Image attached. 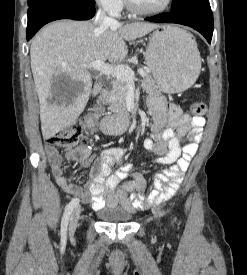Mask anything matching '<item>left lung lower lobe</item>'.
<instances>
[{
	"instance_id": "0a47b994",
	"label": "left lung lower lobe",
	"mask_w": 247,
	"mask_h": 275,
	"mask_svg": "<svg viewBox=\"0 0 247 275\" xmlns=\"http://www.w3.org/2000/svg\"><path fill=\"white\" fill-rule=\"evenodd\" d=\"M145 20L186 25L200 32L209 43L212 39L213 14L209 3L197 4L181 10L159 14Z\"/></svg>"
}]
</instances>
